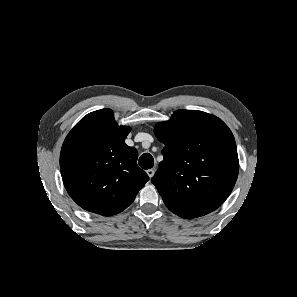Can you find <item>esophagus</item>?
Instances as JSON below:
<instances>
[{"label":"esophagus","mask_w":297,"mask_h":297,"mask_svg":"<svg viewBox=\"0 0 297 297\" xmlns=\"http://www.w3.org/2000/svg\"><path fill=\"white\" fill-rule=\"evenodd\" d=\"M154 173H155L154 169L147 170V174H148L149 178H151L154 175Z\"/></svg>","instance_id":"34e87169"}]
</instances>
